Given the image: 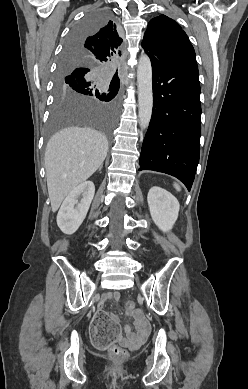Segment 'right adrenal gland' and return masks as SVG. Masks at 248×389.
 <instances>
[{
    "label": "right adrenal gland",
    "instance_id": "right-adrenal-gland-1",
    "mask_svg": "<svg viewBox=\"0 0 248 389\" xmlns=\"http://www.w3.org/2000/svg\"><path fill=\"white\" fill-rule=\"evenodd\" d=\"M102 169V165L99 167V170H101Z\"/></svg>",
    "mask_w": 248,
    "mask_h": 389
}]
</instances>
